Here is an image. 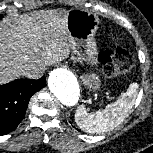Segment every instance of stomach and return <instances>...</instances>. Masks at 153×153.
<instances>
[{"mask_svg":"<svg viewBox=\"0 0 153 153\" xmlns=\"http://www.w3.org/2000/svg\"><path fill=\"white\" fill-rule=\"evenodd\" d=\"M98 17L81 10H70L66 16V31L72 52L80 62L91 66L97 65V44L95 33L98 30ZM83 84L89 91H98L102 88L99 75L94 72L81 76Z\"/></svg>","mask_w":153,"mask_h":153,"instance_id":"0dacf381","label":"stomach"}]
</instances>
